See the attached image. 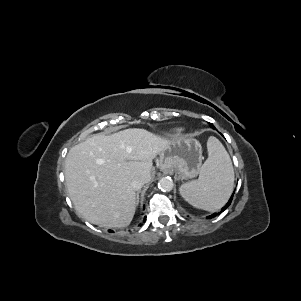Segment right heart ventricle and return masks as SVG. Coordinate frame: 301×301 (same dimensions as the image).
Wrapping results in <instances>:
<instances>
[{"mask_svg":"<svg viewBox=\"0 0 301 301\" xmlns=\"http://www.w3.org/2000/svg\"><path fill=\"white\" fill-rule=\"evenodd\" d=\"M181 131V129H179V128H174V129H171L169 132L170 133H178V132H180Z\"/></svg>","mask_w":301,"mask_h":301,"instance_id":"1","label":"right heart ventricle"}]
</instances>
